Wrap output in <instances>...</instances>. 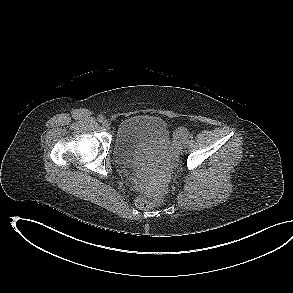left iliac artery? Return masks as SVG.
<instances>
[{
  "label": "left iliac artery",
  "instance_id": "44dca946",
  "mask_svg": "<svg viewBox=\"0 0 293 293\" xmlns=\"http://www.w3.org/2000/svg\"><path fill=\"white\" fill-rule=\"evenodd\" d=\"M189 138H190V139H192V138H193V135H192V134H191V135H189Z\"/></svg>",
  "mask_w": 293,
  "mask_h": 293
}]
</instances>
